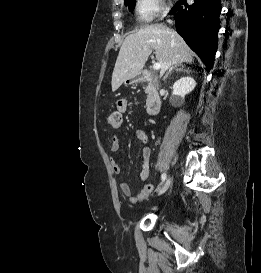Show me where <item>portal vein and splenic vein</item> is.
<instances>
[{
    "mask_svg": "<svg viewBox=\"0 0 261 273\" xmlns=\"http://www.w3.org/2000/svg\"><path fill=\"white\" fill-rule=\"evenodd\" d=\"M161 68V64L160 63H154L153 64V69L154 70H159Z\"/></svg>",
    "mask_w": 261,
    "mask_h": 273,
    "instance_id": "18ae733b",
    "label": "portal vein and splenic vein"
}]
</instances>
